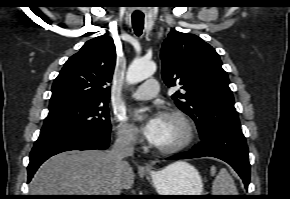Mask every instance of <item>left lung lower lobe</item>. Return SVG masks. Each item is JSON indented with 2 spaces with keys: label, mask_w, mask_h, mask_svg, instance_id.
<instances>
[{
  "label": "left lung lower lobe",
  "mask_w": 290,
  "mask_h": 199,
  "mask_svg": "<svg viewBox=\"0 0 290 199\" xmlns=\"http://www.w3.org/2000/svg\"><path fill=\"white\" fill-rule=\"evenodd\" d=\"M215 157L230 164L242 178L245 187L250 180V164L245 137L240 130L212 128L201 134V142L196 148L169 160Z\"/></svg>",
  "instance_id": "1"
}]
</instances>
